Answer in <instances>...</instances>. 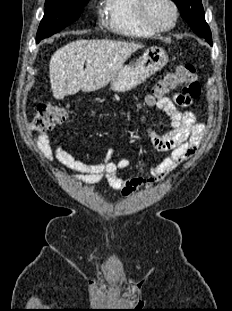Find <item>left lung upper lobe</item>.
Wrapping results in <instances>:
<instances>
[{
    "instance_id": "1",
    "label": "left lung upper lobe",
    "mask_w": 232,
    "mask_h": 311,
    "mask_svg": "<svg viewBox=\"0 0 232 311\" xmlns=\"http://www.w3.org/2000/svg\"><path fill=\"white\" fill-rule=\"evenodd\" d=\"M180 9L181 15L192 30L202 36H211L208 24L205 21L204 9L201 0H172Z\"/></svg>"
}]
</instances>
